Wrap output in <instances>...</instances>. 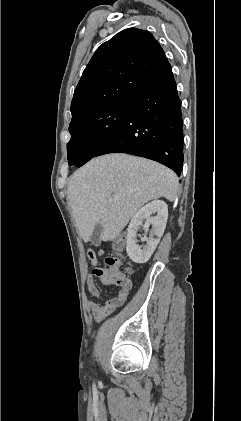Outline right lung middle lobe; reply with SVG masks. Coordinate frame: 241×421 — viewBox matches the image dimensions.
<instances>
[{
  "mask_svg": "<svg viewBox=\"0 0 241 421\" xmlns=\"http://www.w3.org/2000/svg\"><path fill=\"white\" fill-rule=\"evenodd\" d=\"M128 103L129 100L110 104L70 123L71 139L67 144L69 165L80 167L96 156L121 126Z\"/></svg>",
  "mask_w": 241,
  "mask_h": 421,
  "instance_id": "right-lung-middle-lobe-1",
  "label": "right lung middle lobe"
}]
</instances>
